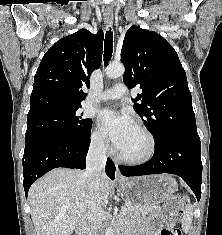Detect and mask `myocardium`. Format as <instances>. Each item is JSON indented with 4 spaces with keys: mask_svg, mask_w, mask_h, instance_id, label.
I'll return each instance as SVG.
<instances>
[{
    "mask_svg": "<svg viewBox=\"0 0 222 235\" xmlns=\"http://www.w3.org/2000/svg\"><path fill=\"white\" fill-rule=\"evenodd\" d=\"M134 126L140 129L149 139L150 141V151L147 155L142 158H128L123 156L119 151L117 152V158L123 163L129 165H142L153 159L157 152V139L154 133L142 122H135Z\"/></svg>",
    "mask_w": 222,
    "mask_h": 235,
    "instance_id": "1",
    "label": "myocardium"
}]
</instances>
